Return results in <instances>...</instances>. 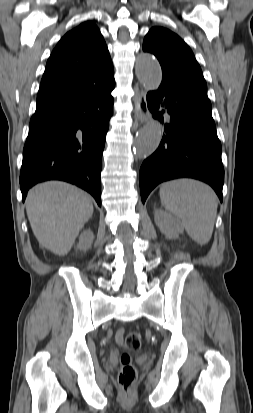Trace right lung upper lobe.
<instances>
[{"label": "right lung upper lobe", "mask_w": 253, "mask_h": 413, "mask_svg": "<svg viewBox=\"0 0 253 413\" xmlns=\"http://www.w3.org/2000/svg\"><path fill=\"white\" fill-rule=\"evenodd\" d=\"M114 74L103 36L84 22L58 42L47 61L32 117H50L72 102L94 95Z\"/></svg>", "instance_id": "right-lung-upper-lobe-1"}]
</instances>
